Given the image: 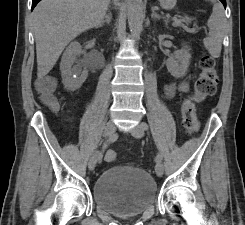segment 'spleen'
<instances>
[{
    "label": "spleen",
    "mask_w": 245,
    "mask_h": 225,
    "mask_svg": "<svg viewBox=\"0 0 245 225\" xmlns=\"http://www.w3.org/2000/svg\"><path fill=\"white\" fill-rule=\"evenodd\" d=\"M210 1L213 3V11L207 22L209 35L203 40V43L210 55L218 58L221 53L226 18L223 6L216 0Z\"/></svg>",
    "instance_id": "obj_1"
}]
</instances>
